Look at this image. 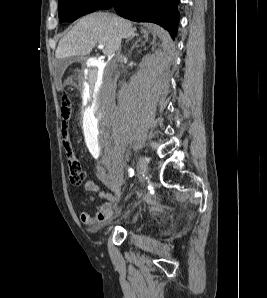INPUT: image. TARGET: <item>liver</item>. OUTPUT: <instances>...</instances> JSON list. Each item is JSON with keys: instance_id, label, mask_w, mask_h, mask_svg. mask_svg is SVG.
<instances>
[{"instance_id": "obj_1", "label": "liver", "mask_w": 267, "mask_h": 298, "mask_svg": "<svg viewBox=\"0 0 267 298\" xmlns=\"http://www.w3.org/2000/svg\"><path fill=\"white\" fill-rule=\"evenodd\" d=\"M135 29L126 19L106 12H94L82 17L60 40L56 59L86 56L98 44L110 56L119 50L122 39L131 37Z\"/></svg>"}]
</instances>
